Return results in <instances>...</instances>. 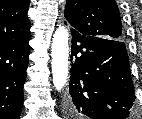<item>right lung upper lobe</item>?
<instances>
[{
  "label": "right lung upper lobe",
  "instance_id": "obj_1",
  "mask_svg": "<svg viewBox=\"0 0 142 119\" xmlns=\"http://www.w3.org/2000/svg\"><path fill=\"white\" fill-rule=\"evenodd\" d=\"M29 4L30 0H0V45L30 34Z\"/></svg>",
  "mask_w": 142,
  "mask_h": 119
}]
</instances>
